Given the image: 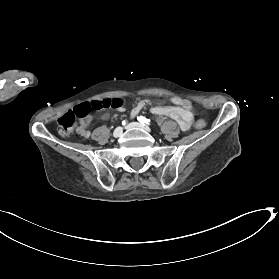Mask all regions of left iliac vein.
Listing matches in <instances>:
<instances>
[{"instance_id": "4c4485c4", "label": "left iliac vein", "mask_w": 279, "mask_h": 279, "mask_svg": "<svg viewBox=\"0 0 279 279\" xmlns=\"http://www.w3.org/2000/svg\"><path fill=\"white\" fill-rule=\"evenodd\" d=\"M132 128H140L147 132H151V129L148 126L142 125L138 122H132L126 126V129H132Z\"/></svg>"}]
</instances>
